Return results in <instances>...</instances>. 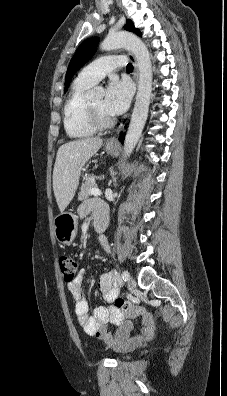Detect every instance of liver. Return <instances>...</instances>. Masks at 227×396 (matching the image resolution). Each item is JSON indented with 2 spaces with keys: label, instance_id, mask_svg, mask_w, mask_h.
Returning <instances> with one entry per match:
<instances>
[{
  "label": "liver",
  "instance_id": "obj_1",
  "mask_svg": "<svg viewBox=\"0 0 227 396\" xmlns=\"http://www.w3.org/2000/svg\"><path fill=\"white\" fill-rule=\"evenodd\" d=\"M99 137L74 140L58 149L53 170V191L61 212L73 199L86 162L101 148Z\"/></svg>",
  "mask_w": 227,
  "mask_h": 396
}]
</instances>
